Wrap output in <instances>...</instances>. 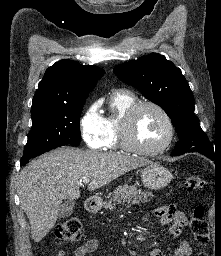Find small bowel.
<instances>
[{
    "mask_svg": "<svg viewBox=\"0 0 221 256\" xmlns=\"http://www.w3.org/2000/svg\"><path fill=\"white\" fill-rule=\"evenodd\" d=\"M153 214L159 219L162 225L170 224L168 233L174 237H179L183 228L187 224L185 215L178 211L174 205H165L153 210ZM100 246L98 239H89L78 246L74 251V256H87L96 251ZM192 247L184 239H181L174 249L173 256H191ZM58 256H64L63 252H60ZM151 256H165L164 253L154 248L151 251Z\"/></svg>",
    "mask_w": 221,
    "mask_h": 256,
    "instance_id": "small-bowel-1",
    "label": "small bowel"
}]
</instances>
